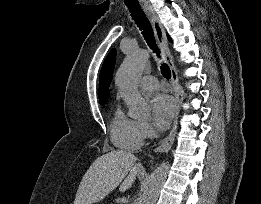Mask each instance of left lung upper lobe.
Returning <instances> with one entry per match:
<instances>
[{
    "mask_svg": "<svg viewBox=\"0 0 261 204\" xmlns=\"http://www.w3.org/2000/svg\"><path fill=\"white\" fill-rule=\"evenodd\" d=\"M168 39H169L170 42H172V40H171V38L169 37V35H168Z\"/></svg>",
    "mask_w": 261,
    "mask_h": 204,
    "instance_id": "5c2ea615",
    "label": "left lung upper lobe"
}]
</instances>
